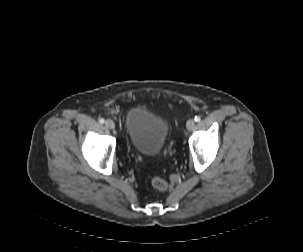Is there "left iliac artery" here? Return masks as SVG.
Segmentation results:
<instances>
[{
    "instance_id": "obj_1",
    "label": "left iliac artery",
    "mask_w": 303,
    "mask_h": 252,
    "mask_svg": "<svg viewBox=\"0 0 303 252\" xmlns=\"http://www.w3.org/2000/svg\"><path fill=\"white\" fill-rule=\"evenodd\" d=\"M194 120H195L196 122H199V121L201 120V118H200V116H195Z\"/></svg>"
}]
</instances>
